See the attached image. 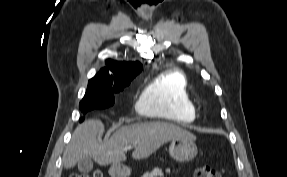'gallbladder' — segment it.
<instances>
[{"instance_id":"gallbladder-1","label":"gallbladder","mask_w":287,"mask_h":177,"mask_svg":"<svg viewBox=\"0 0 287 177\" xmlns=\"http://www.w3.org/2000/svg\"><path fill=\"white\" fill-rule=\"evenodd\" d=\"M78 169L82 173H88L93 169V161L90 157L82 158L78 161Z\"/></svg>"}]
</instances>
